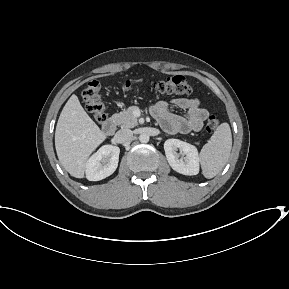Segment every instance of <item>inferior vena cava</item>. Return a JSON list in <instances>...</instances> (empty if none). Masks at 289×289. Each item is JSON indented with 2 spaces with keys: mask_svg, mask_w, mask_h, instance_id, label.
Segmentation results:
<instances>
[{
  "mask_svg": "<svg viewBox=\"0 0 289 289\" xmlns=\"http://www.w3.org/2000/svg\"><path fill=\"white\" fill-rule=\"evenodd\" d=\"M115 137H116L117 142L127 143L132 139L133 132L130 129L124 128V129L119 130L116 133Z\"/></svg>",
  "mask_w": 289,
  "mask_h": 289,
  "instance_id": "obj_1",
  "label": "inferior vena cava"
}]
</instances>
